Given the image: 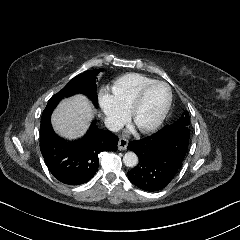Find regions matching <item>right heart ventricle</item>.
Segmentation results:
<instances>
[{"label":"right heart ventricle","mask_w":240,"mask_h":240,"mask_svg":"<svg viewBox=\"0 0 240 240\" xmlns=\"http://www.w3.org/2000/svg\"><path fill=\"white\" fill-rule=\"evenodd\" d=\"M153 80L141 74L130 73L113 80L105 87L103 98L125 112L139 91Z\"/></svg>","instance_id":"1"}]
</instances>
